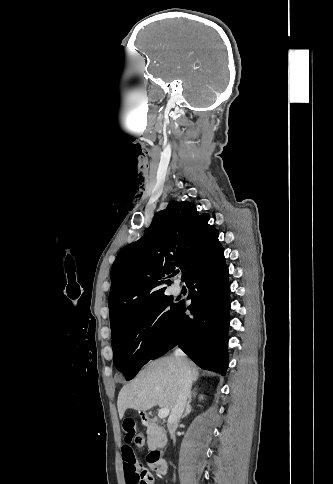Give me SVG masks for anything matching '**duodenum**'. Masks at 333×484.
<instances>
[{"label": "duodenum", "instance_id": "obj_1", "mask_svg": "<svg viewBox=\"0 0 333 484\" xmlns=\"http://www.w3.org/2000/svg\"><path fill=\"white\" fill-rule=\"evenodd\" d=\"M149 460L153 471L158 474H165L167 471V465L165 460L161 456V451L159 449L152 450L149 453Z\"/></svg>", "mask_w": 333, "mask_h": 484}]
</instances>
